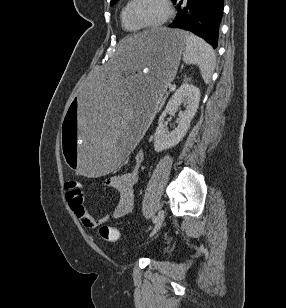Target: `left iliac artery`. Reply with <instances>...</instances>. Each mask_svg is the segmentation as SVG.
Here are the masks:
<instances>
[{
    "label": "left iliac artery",
    "mask_w": 286,
    "mask_h": 308,
    "mask_svg": "<svg viewBox=\"0 0 286 308\" xmlns=\"http://www.w3.org/2000/svg\"><path fill=\"white\" fill-rule=\"evenodd\" d=\"M152 221H153V223L156 222V217L155 216L152 218Z\"/></svg>",
    "instance_id": "44dca946"
}]
</instances>
